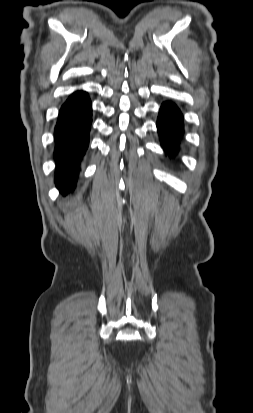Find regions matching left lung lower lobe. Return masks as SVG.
I'll list each match as a JSON object with an SVG mask.
<instances>
[{
    "mask_svg": "<svg viewBox=\"0 0 253 413\" xmlns=\"http://www.w3.org/2000/svg\"><path fill=\"white\" fill-rule=\"evenodd\" d=\"M157 129L162 147L170 156L175 155L184 132L183 116L175 104L171 102L162 104L157 120Z\"/></svg>",
    "mask_w": 253,
    "mask_h": 413,
    "instance_id": "0a47b994",
    "label": "left lung lower lobe"
}]
</instances>
